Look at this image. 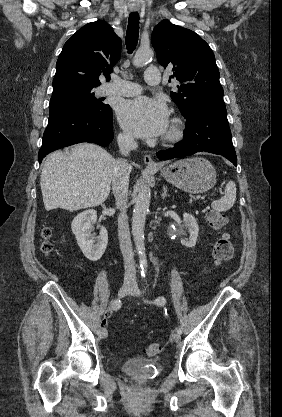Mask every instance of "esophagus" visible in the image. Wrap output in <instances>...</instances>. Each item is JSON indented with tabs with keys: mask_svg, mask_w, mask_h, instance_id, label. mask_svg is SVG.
<instances>
[{
	"mask_svg": "<svg viewBox=\"0 0 282 417\" xmlns=\"http://www.w3.org/2000/svg\"><path fill=\"white\" fill-rule=\"evenodd\" d=\"M143 160H144L145 164L149 167H158V164L156 162H154L151 155H144Z\"/></svg>",
	"mask_w": 282,
	"mask_h": 417,
	"instance_id": "34e87169",
	"label": "esophagus"
}]
</instances>
